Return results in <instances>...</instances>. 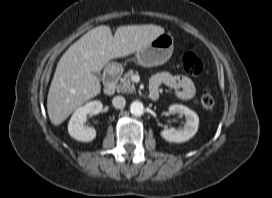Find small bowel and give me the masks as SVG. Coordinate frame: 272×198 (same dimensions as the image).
<instances>
[{"label": "small bowel", "mask_w": 272, "mask_h": 198, "mask_svg": "<svg viewBox=\"0 0 272 198\" xmlns=\"http://www.w3.org/2000/svg\"><path fill=\"white\" fill-rule=\"evenodd\" d=\"M162 84L172 88L175 95L180 99L188 100L195 95V86L190 78L161 72L156 74L151 80L150 95L152 98H157L158 87ZM155 93L157 96H154Z\"/></svg>", "instance_id": "1"}]
</instances>
